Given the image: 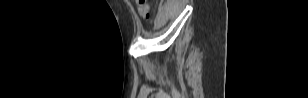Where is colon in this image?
Masks as SVG:
<instances>
[{
  "label": "colon",
  "mask_w": 308,
  "mask_h": 98,
  "mask_svg": "<svg viewBox=\"0 0 308 98\" xmlns=\"http://www.w3.org/2000/svg\"><path fill=\"white\" fill-rule=\"evenodd\" d=\"M138 13L145 19H149L151 16V7L146 0L135 1Z\"/></svg>",
  "instance_id": "5ec220e1"
}]
</instances>
